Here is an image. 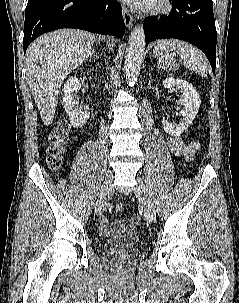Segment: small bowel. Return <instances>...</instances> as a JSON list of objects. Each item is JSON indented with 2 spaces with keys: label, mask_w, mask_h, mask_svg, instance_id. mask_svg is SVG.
Segmentation results:
<instances>
[{
  "label": "small bowel",
  "mask_w": 239,
  "mask_h": 303,
  "mask_svg": "<svg viewBox=\"0 0 239 303\" xmlns=\"http://www.w3.org/2000/svg\"><path fill=\"white\" fill-rule=\"evenodd\" d=\"M170 151L176 156H182L185 161H190L194 153L198 150L199 144L194 141H185L181 137H170L167 140ZM120 220L116 223H111L106 216H102L100 219V231L104 236H109L119 231H131L138 224L134 223V219ZM139 219V218H138Z\"/></svg>",
  "instance_id": "1"
}]
</instances>
